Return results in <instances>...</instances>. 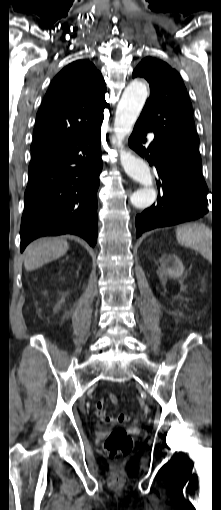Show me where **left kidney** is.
<instances>
[{
	"instance_id": "obj_1",
	"label": "left kidney",
	"mask_w": 221,
	"mask_h": 510,
	"mask_svg": "<svg viewBox=\"0 0 221 510\" xmlns=\"http://www.w3.org/2000/svg\"><path fill=\"white\" fill-rule=\"evenodd\" d=\"M160 264L163 271L173 278L181 277L183 275V263L176 255L162 256Z\"/></svg>"
}]
</instances>
